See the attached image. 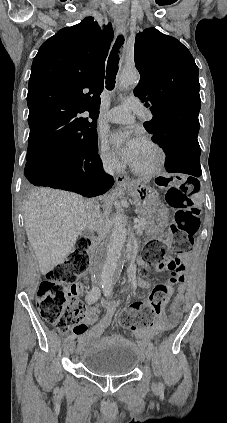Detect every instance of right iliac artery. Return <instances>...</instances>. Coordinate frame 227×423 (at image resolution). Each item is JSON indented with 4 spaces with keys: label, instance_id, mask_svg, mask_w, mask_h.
<instances>
[{
    "label": "right iliac artery",
    "instance_id": "82829eb1",
    "mask_svg": "<svg viewBox=\"0 0 227 423\" xmlns=\"http://www.w3.org/2000/svg\"><path fill=\"white\" fill-rule=\"evenodd\" d=\"M101 290L100 286L93 287L87 294L86 300L88 303H93L97 301V299L100 297ZM76 338V334H71L68 336V340H74Z\"/></svg>",
    "mask_w": 227,
    "mask_h": 423
}]
</instances>
